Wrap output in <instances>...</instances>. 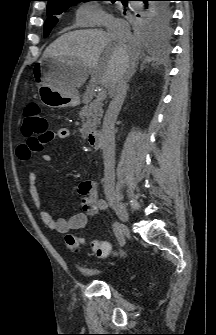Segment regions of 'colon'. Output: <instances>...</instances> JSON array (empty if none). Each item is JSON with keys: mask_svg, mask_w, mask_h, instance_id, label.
Returning a JSON list of instances; mask_svg holds the SVG:
<instances>
[{"mask_svg": "<svg viewBox=\"0 0 216 335\" xmlns=\"http://www.w3.org/2000/svg\"><path fill=\"white\" fill-rule=\"evenodd\" d=\"M22 133L28 137V145L33 152L41 151L45 141L51 135V131L48 129V121L41 116L39 107L34 102L27 104L24 108ZM65 241L69 249L75 252L81 251L82 238L68 234ZM91 248L93 254L99 258L108 257L111 254V249L102 241H92Z\"/></svg>", "mask_w": 216, "mask_h": 335, "instance_id": "1", "label": "colon"}]
</instances>
